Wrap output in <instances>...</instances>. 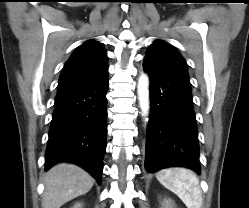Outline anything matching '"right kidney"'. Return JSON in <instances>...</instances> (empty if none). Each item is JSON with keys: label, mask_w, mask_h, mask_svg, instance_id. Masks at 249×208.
Returning <instances> with one entry per match:
<instances>
[{"label": "right kidney", "mask_w": 249, "mask_h": 208, "mask_svg": "<svg viewBox=\"0 0 249 208\" xmlns=\"http://www.w3.org/2000/svg\"><path fill=\"white\" fill-rule=\"evenodd\" d=\"M80 207V205L79 204H77L74 208H79Z\"/></svg>", "instance_id": "ca27d5eb"}]
</instances>
